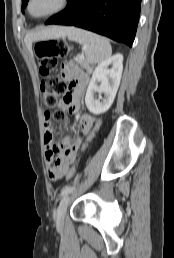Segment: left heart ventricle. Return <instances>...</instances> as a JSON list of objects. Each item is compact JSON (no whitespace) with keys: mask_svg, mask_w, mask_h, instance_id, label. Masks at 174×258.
Segmentation results:
<instances>
[{"mask_svg":"<svg viewBox=\"0 0 174 258\" xmlns=\"http://www.w3.org/2000/svg\"><path fill=\"white\" fill-rule=\"evenodd\" d=\"M58 3V0H35L31 10L33 14L38 15L53 9Z\"/></svg>","mask_w":174,"mask_h":258,"instance_id":"1","label":"left heart ventricle"}]
</instances>
